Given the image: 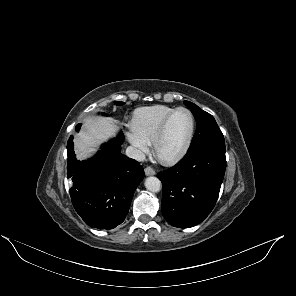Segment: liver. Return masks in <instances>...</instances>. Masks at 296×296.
I'll return each mask as SVG.
<instances>
[{"mask_svg": "<svg viewBox=\"0 0 296 296\" xmlns=\"http://www.w3.org/2000/svg\"><path fill=\"white\" fill-rule=\"evenodd\" d=\"M116 125L106 118L89 117L74 140L75 152L80 159L91 157L99 145L115 136Z\"/></svg>", "mask_w": 296, "mask_h": 296, "instance_id": "liver-1", "label": "liver"}]
</instances>
